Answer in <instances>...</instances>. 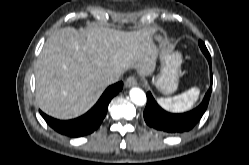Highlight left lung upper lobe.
I'll return each instance as SVG.
<instances>
[{"label": "left lung upper lobe", "instance_id": "obj_1", "mask_svg": "<svg viewBox=\"0 0 249 165\" xmlns=\"http://www.w3.org/2000/svg\"><path fill=\"white\" fill-rule=\"evenodd\" d=\"M199 46L203 54L206 56L207 60H211V56L205 46V44L202 41H199Z\"/></svg>", "mask_w": 249, "mask_h": 165}]
</instances>
